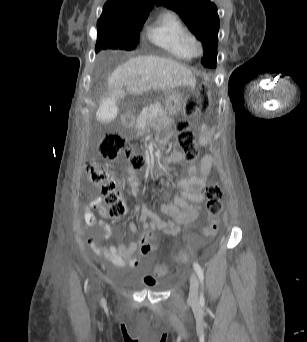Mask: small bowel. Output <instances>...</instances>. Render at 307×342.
Masks as SVG:
<instances>
[{"mask_svg": "<svg viewBox=\"0 0 307 342\" xmlns=\"http://www.w3.org/2000/svg\"><path fill=\"white\" fill-rule=\"evenodd\" d=\"M210 133L205 123L199 128V143L201 146H206L209 142ZM183 161V155L178 150H173L170 154V162L180 163ZM214 164V157L207 154L202 157L200 162L190 163L188 165V176L176 181V186L180 190L179 195L174 198V202L163 203L161 205L162 214L169 216L174 221H164L158 215L153 213L146 205L140 206L139 222L142 224L143 233L146 229H162L163 232H180L182 225H187L193 222L199 215L201 204L204 201L203 188L207 184L211 168ZM127 181L132 193L135 195L138 192L139 180L136 172L133 169L127 170ZM100 210L105 214V208L102 206L101 198L96 197L91 200L84 209V218L87 226L100 227L103 230V237L111 236V227L104 221L98 220L93 211ZM130 230L136 234L137 229L133 222L129 223ZM88 243L93 251L104 256L117 267H134L137 265V260L132 259L131 255L138 249L139 243L131 241L128 244H123L119 247L110 245L105 247L97 245L92 238L88 239ZM148 254V253H143Z\"/></svg>", "mask_w": 307, "mask_h": 342, "instance_id": "1", "label": "small bowel"}]
</instances>
